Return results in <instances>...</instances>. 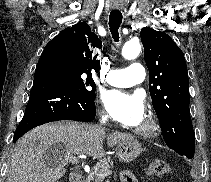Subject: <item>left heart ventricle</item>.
I'll use <instances>...</instances> for the list:
<instances>
[{
    "mask_svg": "<svg viewBox=\"0 0 211 182\" xmlns=\"http://www.w3.org/2000/svg\"><path fill=\"white\" fill-rule=\"evenodd\" d=\"M145 122H146V118H145L144 121L140 124V126H142Z\"/></svg>",
    "mask_w": 211,
    "mask_h": 182,
    "instance_id": "b2bd125f",
    "label": "left heart ventricle"
}]
</instances>
